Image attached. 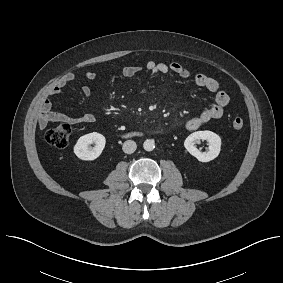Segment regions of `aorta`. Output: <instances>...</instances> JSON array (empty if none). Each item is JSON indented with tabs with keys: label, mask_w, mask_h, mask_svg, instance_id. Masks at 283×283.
<instances>
[{
	"label": "aorta",
	"mask_w": 283,
	"mask_h": 283,
	"mask_svg": "<svg viewBox=\"0 0 283 283\" xmlns=\"http://www.w3.org/2000/svg\"><path fill=\"white\" fill-rule=\"evenodd\" d=\"M143 148H144V150H146L148 152L154 150V148H155L154 140H151V139L145 140V142L143 143Z\"/></svg>",
	"instance_id": "aorta-1"
}]
</instances>
